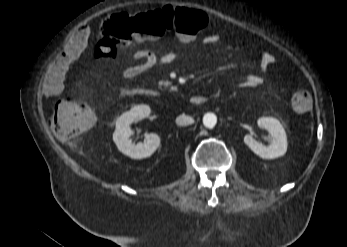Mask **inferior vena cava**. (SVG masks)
Instances as JSON below:
<instances>
[{"label":"inferior vena cava","mask_w":347,"mask_h":247,"mask_svg":"<svg viewBox=\"0 0 347 247\" xmlns=\"http://www.w3.org/2000/svg\"><path fill=\"white\" fill-rule=\"evenodd\" d=\"M194 123V119L190 116H187L185 114L179 115L176 118V124L179 126H187Z\"/></svg>","instance_id":"inferior-vena-cava-1"}]
</instances>
